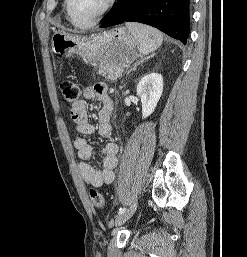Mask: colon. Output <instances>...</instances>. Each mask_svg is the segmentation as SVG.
Returning a JSON list of instances; mask_svg holds the SVG:
<instances>
[{"instance_id": "5ec220e1", "label": "colon", "mask_w": 247, "mask_h": 257, "mask_svg": "<svg viewBox=\"0 0 247 257\" xmlns=\"http://www.w3.org/2000/svg\"><path fill=\"white\" fill-rule=\"evenodd\" d=\"M60 87L66 103L73 105L80 100L82 96V88L73 80L68 78L63 79L60 83ZM90 199L95 208L101 209L104 207V197L99 191L91 189Z\"/></svg>"}]
</instances>
